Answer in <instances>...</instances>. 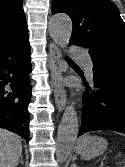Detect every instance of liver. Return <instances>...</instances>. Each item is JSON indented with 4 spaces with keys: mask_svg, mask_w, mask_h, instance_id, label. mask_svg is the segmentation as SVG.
<instances>
[{
    "mask_svg": "<svg viewBox=\"0 0 125 167\" xmlns=\"http://www.w3.org/2000/svg\"><path fill=\"white\" fill-rule=\"evenodd\" d=\"M21 153L20 136L0 128V167H15Z\"/></svg>",
    "mask_w": 125,
    "mask_h": 167,
    "instance_id": "1",
    "label": "liver"
}]
</instances>
